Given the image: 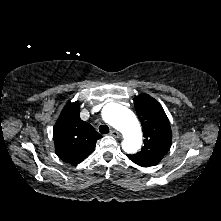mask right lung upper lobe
Wrapping results in <instances>:
<instances>
[{
  "mask_svg": "<svg viewBox=\"0 0 221 221\" xmlns=\"http://www.w3.org/2000/svg\"><path fill=\"white\" fill-rule=\"evenodd\" d=\"M101 137L89 123L80 119L78 102L66 104L53 128L57 156L72 164L82 162Z\"/></svg>",
  "mask_w": 221,
  "mask_h": 221,
  "instance_id": "1",
  "label": "right lung upper lobe"
}]
</instances>
